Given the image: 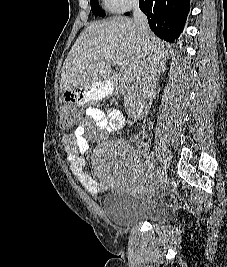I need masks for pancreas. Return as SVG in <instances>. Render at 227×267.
<instances>
[{"mask_svg": "<svg viewBox=\"0 0 227 267\" xmlns=\"http://www.w3.org/2000/svg\"><path fill=\"white\" fill-rule=\"evenodd\" d=\"M125 106H127L129 108V110L134 109V107H135L134 95H128L125 97Z\"/></svg>", "mask_w": 227, "mask_h": 267, "instance_id": "obj_1", "label": "pancreas"}]
</instances>
